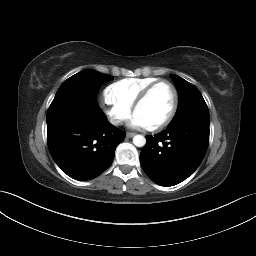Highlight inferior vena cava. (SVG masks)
<instances>
[{
	"label": "inferior vena cava",
	"instance_id": "inferior-vena-cava-1",
	"mask_svg": "<svg viewBox=\"0 0 256 256\" xmlns=\"http://www.w3.org/2000/svg\"><path fill=\"white\" fill-rule=\"evenodd\" d=\"M111 123H112L113 125H119V124L122 123V121H121V120H118V119H112V120H111Z\"/></svg>",
	"mask_w": 256,
	"mask_h": 256
}]
</instances>
